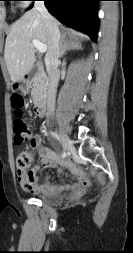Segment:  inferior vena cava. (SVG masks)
Returning a JSON list of instances; mask_svg holds the SVG:
<instances>
[{
    "label": "inferior vena cava",
    "mask_w": 133,
    "mask_h": 253,
    "mask_svg": "<svg viewBox=\"0 0 133 253\" xmlns=\"http://www.w3.org/2000/svg\"><path fill=\"white\" fill-rule=\"evenodd\" d=\"M34 8L41 14L45 21L49 37V49L45 56L47 71L49 74L47 104L50 113L55 110V99L60 73L58 70L60 56V32L56 20L50 15L44 1H35Z\"/></svg>",
    "instance_id": "obj_1"
}]
</instances>
